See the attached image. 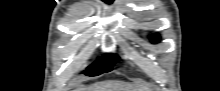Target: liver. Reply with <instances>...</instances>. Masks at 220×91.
<instances>
[{
	"label": "liver",
	"instance_id": "6515ba94",
	"mask_svg": "<svg viewBox=\"0 0 220 91\" xmlns=\"http://www.w3.org/2000/svg\"><path fill=\"white\" fill-rule=\"evenodd\" d=\"M83 91H149L147 88L139 87L133 84L124 83L120 81H108L103 83H96Z\"/></svg>",
	"mask_w": 220,
	"mask_h": 91
}]
</instances>
